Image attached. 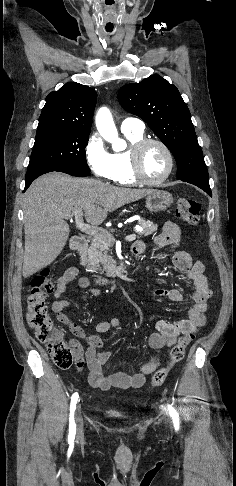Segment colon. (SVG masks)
<instances>
[{
    "mask_svg": "<svg viewBox=\"0 0 236 486\" xmlns=\"http://www.w3.org/2000/svg\"><path fill=\"white\" fill-rule=\"evenodd\" d=\"M175 214L188 225L198 226L200 223V205L194 200L180 199ZM53 289V277L49 269H43L32 278L30 292L26 299V318L38 340L47 346L53 362L58 367L66 369L73 364L74 354L63 333L53 326L48 314L46 298L53 292ZM193 338V333L184 334L179 338L170 350L167 364L154 373L152 386L157 387L163 384L173 366L183 359L186 348Z\"/></svg>",
    "mask_w": 236,
    "mask_h": 486,
    "instance_id": "1",
    "label": "colon"
}]
</instances>
